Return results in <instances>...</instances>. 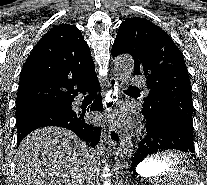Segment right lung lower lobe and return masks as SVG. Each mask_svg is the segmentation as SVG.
I'll return each instance as SVG.
<instances>
[{
    "mask_svg": "<svg viewBox=\"0 0 207 185\" xmlns=\"http://www.w3.org/2000/svg\"><path fill=\"white\" fill-rule=\"evenodd\" d=\"M100 90L98 78L92 82L80 86L74 90L72 95L65 101L68 110H56L46 114H38L26 119H23L16 123L17 126V142L18 145L30 132L44 126H60L73 131L78 137L83 140H88L93 146H95L100 137V128L95 127L89 123L85 117V112L89 111H101L103 108L100 94L95 98L94 102L87 108L82 109V112L76 109H72L71 105L78 92L85 94L86 92L97 93ZM95 96V95H94ZM93 99V98H92ZM86 109V111H85Z\"/></svg>",
    "mask_w": 207,
    "mask_h": 185,
    "instance_id": "98d812e1",
    "label": "right lung lower lobe"
}]
</instances>
